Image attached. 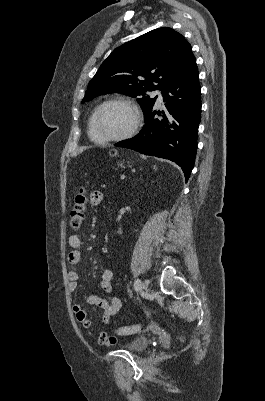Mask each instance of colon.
Here are the masks:
<instances>
[{"label":"colon","instance_id":"5ec220e1","mask_svg":"<svg viewBox=\"0 0 265 401\" xmlns=\"http://www.w3.org/2000/svg\"><path fill=\"white\" fill-rule=\"evenodd\" d=\"M86 202H87L86 191L84 188L81 187L78 189L76 193L74 207L70 212V218H69L70 226L74 230L79 229L81 227L84 218ZM140 330H141V325L135 324L132 326L118 328L115 330V333L117 335L125 336V335L135 334Z\"/></svg>","mask_w":265,"mask_h":401}]
</instances>
